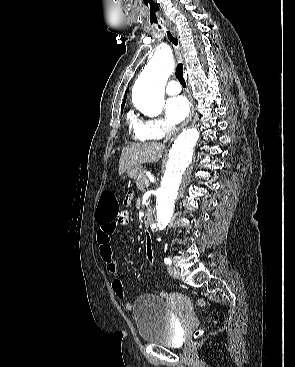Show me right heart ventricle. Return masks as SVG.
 Here are the masks:
<instances>
[{
    "mask_svg": "<svg viewBox=\"0 0 295 367\" xmlns=\"http://www.w3.org/2000/svg\"><path fill=\"white\" fill-rule=\"evenodd\" d=\"M127 122L129 127L133 130L134 136L136 139L138 140H148V138H146L145 136H143L138 127L141 123V120L133 113V112H129L127 114Z\"/></svg>",
    "mask_w": 295,
    "mask_h": 367,
    "instance_id": "1",
    "label": "right heart ventricle"
}]
</instances>
